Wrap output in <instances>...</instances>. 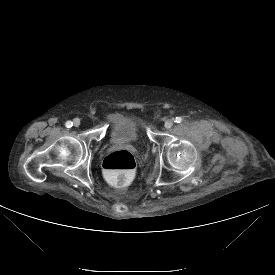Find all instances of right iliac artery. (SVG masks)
Returning a JSON list of instances; mask_svg holds the SVG:
<instances>
[{
	"label": "right iliac artery",
	"instance_id": "right-iliac-artery-1",
	"mask_svg": "<svg viewBox=\"0 0 275 275\" xmlns=\"http://www.w3.org/2000/svg\"><path fill=\"white\" fill-rule=\"evenodd\" d=\"M72 125H73V123H72L71 121H67V122L65 123V126H66L67 128H71Z\"/></svg>",
	"mask_w": 275,
	"mask_h": 275
}]
</instances>
